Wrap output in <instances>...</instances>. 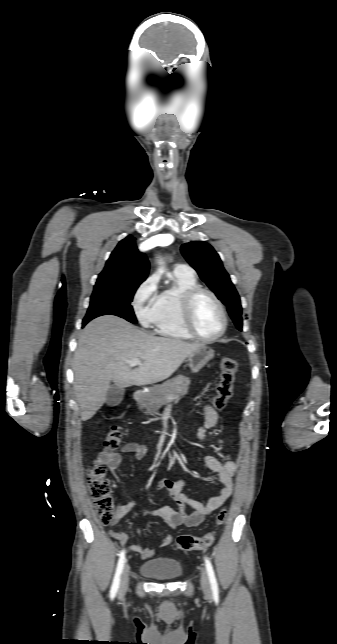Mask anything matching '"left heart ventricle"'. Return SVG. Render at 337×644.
I'll return each instance as SVG.
<instances>
[{"instance_id": "b2bd125f", "label": "left heart ventricle", "mask_w": 337, "mask_h": 644, "mask_svg": "<svg viewBox=\"0 0 337 644\" xmlns=\"http://www.w3.org/2000/svg\"><path fill=\"white\" fill-rule=\"evenodd\" d=\"M194 326L203 337H213L222 326V315L214 300L206 295H201L194 307Z\"/></svg>"}]
</instances>
